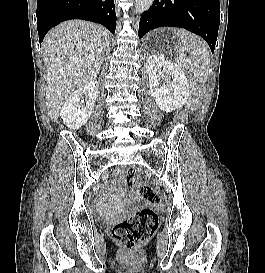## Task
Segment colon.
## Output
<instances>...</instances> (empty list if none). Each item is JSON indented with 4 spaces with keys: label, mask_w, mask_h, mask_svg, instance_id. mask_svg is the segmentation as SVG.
Segmentation results:
<instances>
[{
    "label": "colon",
    "mask_w": 265,
    "mask_h": 273,
    "mask_svg": "<svg viewBox=\"0 0 265 273\" xmlns=\"http://www.w3.org/2000/svg\"><path fill=\"white\" fill-rule=\"evenodd\" d=\"M130 191L136 192L140 198L155 203L159 196L146 184L140 181L137 169H129L125 179ZM158 215L151 207H142L132 216L116 223L112 233L114 239L129 250L139 249L158 228Z\"/></svg>",
    "instance_id": "5ec220e1"
}]
</instances>
